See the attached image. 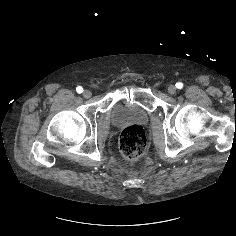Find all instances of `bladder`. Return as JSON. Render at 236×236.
Here are the masks:
<instances>
[{"mask_svg":"<svg viewBox=\"0 0 236 236\" xmlns=\"http://www.w3.org/2000/svg\"><path fill=\"white\" fill-rule=\"evenodd\" d=\"M113 119L115 123L124 122L130 118H144L145 114L142 109L136 106H127L124 104H118L112 111Z\"/></svg>","mask_w":236,"mask_h":236,"instance_id":"31cf9c89","label":"bladder"}]
</instances>
